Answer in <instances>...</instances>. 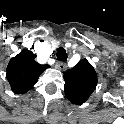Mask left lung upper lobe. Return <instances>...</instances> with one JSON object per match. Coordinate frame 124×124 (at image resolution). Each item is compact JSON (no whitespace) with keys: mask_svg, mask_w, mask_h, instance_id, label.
<instances>
[{"mask_svg":"<svg viewBox=\"0 0 124 124\" xmlns=\"http://www.w3.org/2000/svg\"><path fill=\"white\" fill-rule=\"evenodd\" d=\"M81 67L80 62L73 70H68L64 76L66 96L74 104L86 102L97 84L96 73L87 72L85 74Z\"/></svg>","mask_w":124,"mask_h":124,"instance_id":"left-lung-upper-lobe-1","label":"left lung upper lobe"}]
</instances>
